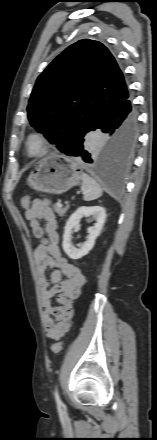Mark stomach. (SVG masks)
<instances>
[{
    "mask_svg": "<svg viewBox=\"0 0 157 440\" xmlns=\"http://www.w3.org/2000/svg\"><path fill=\"white\" fill-rule=\"evenodd\" d=\"M81 167L64 155H51L41 159L27 178L32 189L49 194H62L81 180Z\"/></svg>",
    "mask_w": 157,
    "mask_h": 440,
    "instance_id": "0dacf381",
    "label": "stomach"
}]
</instances>
